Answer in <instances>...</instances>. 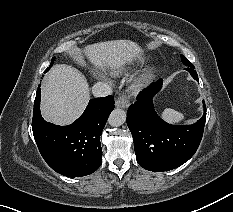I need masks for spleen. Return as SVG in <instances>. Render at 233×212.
<instances>
[{
  "label": "spleen",
  "instance_id": "3e777b00",
  "mask_svg": "<svg viewBox=\"0 0 233 212\" xmlns=\"http://www.w3.org/2000/svg\"><path fill=\"white\" fill-rule=\"evenodd\" d=\"M162 118L169 123H179L184 119V115L178 111L166 108L162 112Z\"/></svg>",
  "mask_w": 233,
  "mask_h": 212
}]
</instances>
